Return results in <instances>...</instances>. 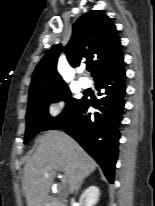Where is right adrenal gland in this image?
Segmentation results:
<instances>
[{
    "label": "right adrenal gland",
    "instance_id": "obj_1",
    "mask_svg": "<svg viewBox=\"0 0 155 206\" xmlns=\"http://www.w3.org/2000/svg\"><path fill=\"white\" fill-rule=\"evenodd\" d=\"M83 182H84V179H82V180L80 181L79 187H78L77 190L75 191V195L78 193V191H79L81 185L83 184Z\"/></svg>",
    "mask_w": 155,
    "mask_h": 206
}]
</instances>
